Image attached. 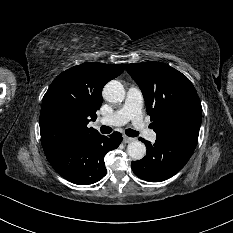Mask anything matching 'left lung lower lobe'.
Listing matches in <instances>:
<instances>
[{"label": "left lung lower lobe", "mask_w": 233, "mask_h": 233, "mask_svg": "<svg viewBox=\"0 0 233 233\" xmlns=\"http://www.w3.org/2000/svg\"><path fill=\"white\" fill-rule=\"evenodd\" d=\"M147 147L141 161H132L134 174L149 182H161L179 172L190 159L197 141L189 138H157L152 145L140 138Z\"/></svg>", "instance_id": "0a47b994"}]
</instances>
